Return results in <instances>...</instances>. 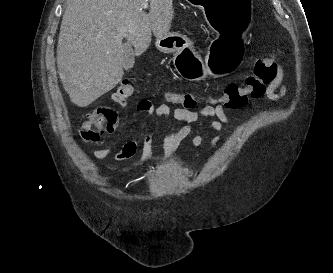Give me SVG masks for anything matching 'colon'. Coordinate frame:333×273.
<instances>
[{
  "label": "colon",
  "mask_w": 333,
  "mask_h": 273,
  "mask_svg": "<svg viewBox=\"0 0 333 273\" xmlns=\"http://www.w3.org/2000/svg\"><path fill=\"white\" fill-rule=\"evenodd\" d=\"M277 66L274 55L261 56L256 60L252 74L242 84H229L220 95L205 96L193 92H167L165 99L186 109H193L198 105L239 109L246 105L249 98H259L264 95L266 87L275 77ZM134 91V81L124 79L117 93L124 97H130ZM117 123L118 116L114 110L108 107H99L88 114L87 119L80 127L79 134L85 141L96 142L106 132L113 130Z\"/></svg>",
  "instance_id": "1"
}]
</instances>
